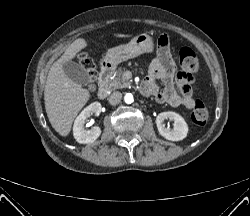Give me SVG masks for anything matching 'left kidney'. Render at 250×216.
<instances>
[{"instance_id":"obj_1","label":"left kidney","mask_w":250,"mask_h":216,"mask_svg":"<svg viewBox=\"0 0 250 216\" xmlns=\"http://www.w3.org/2000/svg\"><path fill=\"white\" fill-rule=\"evenodd\" d=\"M170 119L174 121L173 130L166 128L164 120ZM156 124L161 136L170 141H181L188 134V125L184 118L178 113L168 111L160 113L156 118Z\"/></svg>"}]
</instances>
